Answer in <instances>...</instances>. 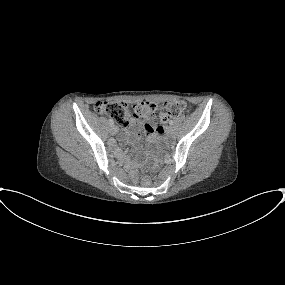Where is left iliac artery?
Returning <instances> with one entry per match:
<instances>
[{"instance_id": "obj_1", "label": "left iliac artery", "mask_w": 285, "mask_h": 285, "mask_svg": "<svg viewBox=\"0 0 285 285\" xmlns=\"http://www.w3.org/2000/svg\"><path fill=\"white\" fill-rule=\"evenodd\" d=\"M173 123H174L173 120H170V121H169V124H170V125H173Z\"/></svg>"}]
</instances>
